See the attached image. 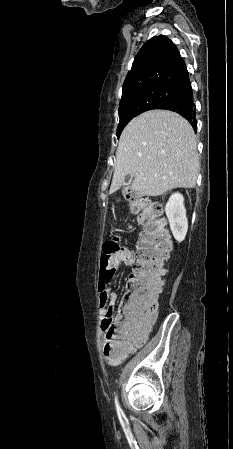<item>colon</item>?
<instances>
[{"instance_id":"colon-1","label":"colon","mask_w":233,"mask_h":449,"mask_svg":"<svg viewBox=\"0 0 233 449\" xmlns=\"http://www.w3.org/2000/svg\"><path fill=\"white\" fill-rule=\"evenodd\" d=\"M126 199L141 210L139 222L143 226L138 244V263L130 275L129 285L124 292L122 322H119L111 310L104 316L105 358L113 363L120 362L127 347L133 343L137 324H143L156 317L158 296L162 289L163 264L170 251V239L165 223L160 218L162 205L138 194H127ZM129 256V250L122 247L118 236L103 245L99 290H104L109 281V272L113 271L121 257ZM117 343V344H115Z\"/></svg>"}]
</instances>
